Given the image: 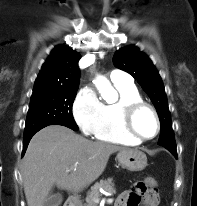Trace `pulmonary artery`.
I'll list each match as a JSON object with an SVG mask.
<instances>
[{
    "label": "pulmonary artery",
    "instance_id": "obj_1",
    "mask_svg": "<svg viewBox=\"0 0 197 206\" xmlns=\"http://www.w3.org/2000/svg\"><path fill=\"white\" fill-rule=\"evenodd\" d=\"M110 79L115 84H132V78L121 70H113L110 74Z\"/></svg>",
    "mask_w": 197,
    "mask_h": 206
}]
</instances>
